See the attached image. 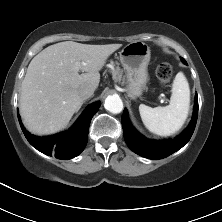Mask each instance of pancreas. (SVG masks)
Returning <instances> with one entry per match:
<instances>
[{
  "label": "pancreas",
  "instance_id": "1",
  "mask_svg": "<svg viewBox=\"0 0 222 222\" xmlns=\"http://www.w3.org/2000/svg\"><path fill=\"white\" fill-rule=\"evenodd\" d=\"M113 66H115L114 64H112ZM112 72V74H113V78L116 80V81H118V82H121V80H122V76H123V71L120 69V67L119 66H116L115 68H114V70L113 71H111Z\"/></svg>",
  "mask_w": 222,
  "mask_h": 222
}]
</instances>
